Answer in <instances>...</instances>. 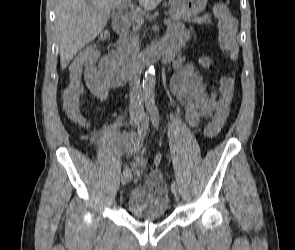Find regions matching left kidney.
I'll use <instances>...</instances> for the list:
<instances>
[{
	"label": "left kidney",
	"instance_id": "left-kidney-1",
	"mask_svg": "<svg viewBox=\"0 0 295 250\" xmlns=\"http://www.w3.org/2000/svg\"><path fill=\"white\" fill-rule=\"evenodd\" d=\"M211 63L212 60H210L208 57L199 59V64L202 65L204 68H208Z\"/></svg>",
	"mask_w": 295,
	"mask_h": 250
}]
</instances>
